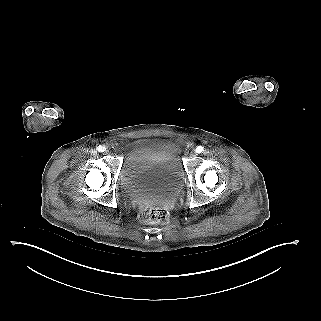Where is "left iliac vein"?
I'll list each match as a JSON object with an SVG mask.
<instances>
[{
  "label": "left iliac vein",
  "instance_id": "left-iliac-vein-1",
  "mask_svg": "<svg viewBox=\"0 0 321 321\" xmlns=\"http://www.w3.org/2000/svg\"><path fill=\"white\" fill-rule=\"evenodd\" d=\"M196 156V153H191V157H195Z\"/></svg>",
  "mask_w": 321,
  "mask_h": 321
}]
</instances>
